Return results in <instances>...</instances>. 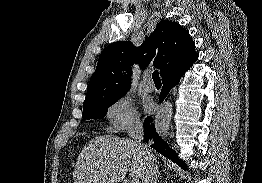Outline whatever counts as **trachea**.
I'll return each mask as SVG.
<instances>
[{
    "instance_id": "1",
    "label": "trachea",
    "mask_w": 262,
    "mask_h": 183,
    "mask_svg": "<svg viewBox=\"0 0 262 183\" xmlns=\"http://www.w3.org/2000/svg\"><path fill=\"white\" fill-rule=\"evenodd\" d=\"M152 78H153V81H154V82H161V79H160L158 70H155V71L152 73Z\"/></svg>"
}]
</instances>
